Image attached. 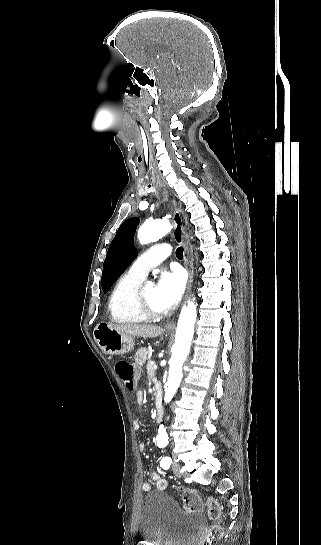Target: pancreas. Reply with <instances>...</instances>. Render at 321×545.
<instances>
[{
	"label": "pancreas",
	"mask_w": 321,
	"mask_h": 545,
	"mask_svg": "<svg viewBox=\"0 0 321 545\" xmlns=\"http://www.w3.org/2000/svg\"><path fill=\"white\" fill-rule=\"evenodd\" d=\"M152 363H154V361H148V363L146 365L147 379H154V377H155V369H154V365H152Z\"/></svg>",
	"instance_id": "cf45deb5"
}]
</instances>
